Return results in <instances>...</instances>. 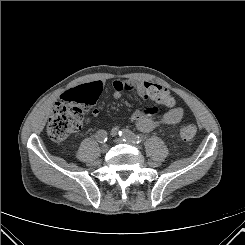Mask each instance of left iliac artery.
Here are the masks:
<instances>
[{"label":"left iliac artery","instance_id":"1","mask_svg":"<svg viewBox=\"0 0 245 245\" xmlns=\"http://www.w3.org/2000/svg\"><path fill=\"white\" fill-rule=\"evenodd\" d=\"M119 136L123 141L131 140L132 142H135L137 144L141 143L144 140L143 135H135L132 131L128 129L119 131Z\"/></svg>","mask_w":245,"mask_h":245}]
</instances>
